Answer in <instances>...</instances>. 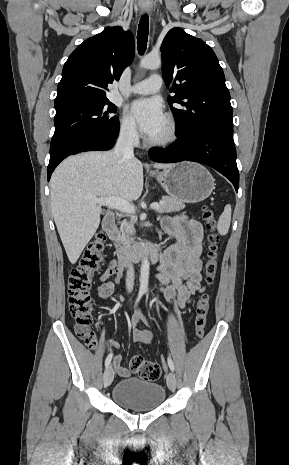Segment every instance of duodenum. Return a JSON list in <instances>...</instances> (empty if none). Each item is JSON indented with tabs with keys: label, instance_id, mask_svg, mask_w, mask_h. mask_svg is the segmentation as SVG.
<instances>
[{
	"label": "duodenum",
	"instance_id": "obj_1",
	"mask_svg": "<svg viewBox=\"0 0 289 465\" xmlns=\"http://www.w3.org/2000/svg\"><path fill=\"white\" fill-rule=\"evenodd\" d=\"M103 228L110 240L116 237V220L113 213H107L103 219ZM115 255L119 264L123 267L143 258H149L153 262H158L160 254L153 245H138L135 247H116Z\"/></svg>",
	"mask_w": 289,
	"mask_h": 465
}]
</instances>
